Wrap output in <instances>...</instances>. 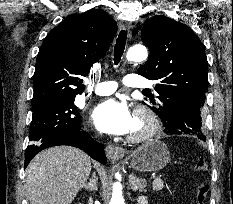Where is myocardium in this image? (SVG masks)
Returning a JSON list of instances; mask_svg holds the SVG:
<instances>
[{"label": "myocardium", "instance_id": "myocardium-1", "mask_svg": "<svg viewBox=\"0 0 233 204\" xmlns=\"http://www.w3.org/2000/svg\"><path fill=\"white\" fill-rule=\"evenodd\" d=\"M135 118L144 124L142 130L130 133L127 139L130 142H142L151 138L159 129V120L155 113L146 106H138L134 110Z\"/></svg>", "mask_w": 233, "mask_h": 204}]
</instances>
